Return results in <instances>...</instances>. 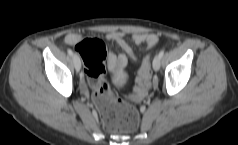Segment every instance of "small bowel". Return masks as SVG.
<instances>
[{
  "instance_id": "1",
  "label": "small bowel",
  "mask_w": 238,
  "mask_h": 145,
  "mask_svg": "<svg viewBox=\"0 0 238 145\" xmlns=\"http://www.w3.org/2000/svg\"><path fill=\"white\" fill-rule=\"evenodd\" d=\"M83 36L78 33H69L64 38V43L68 45H77L83 40ZM107 39L114 41L117 43L124 53L114 55L111 52H106V58L108 61V66L113 69H121L127 65L128 59L127 56L132 58L134 61L137 60V57L131 48V46L127 43L125 39V34L121 31H110L107 34ZM132 41L137 44H145L148 50H152L158 43L157 35L153 33H145V32H134L132 34Z\"/></svg>"
}]
</instances>
